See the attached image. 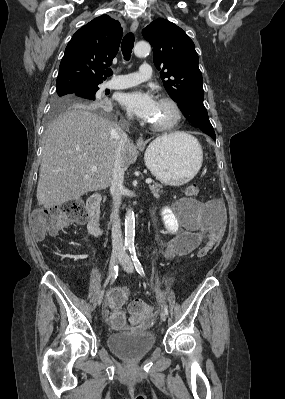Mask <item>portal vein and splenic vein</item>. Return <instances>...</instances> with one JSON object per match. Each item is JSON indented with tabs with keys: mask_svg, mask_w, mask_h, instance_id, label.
Listing matches in <instances>:
<instances>
[{
	"mask_svg": "<svg viewBox=\"0 0 285 399\" xmlns=\"http://www.w3.org/2000/svg\"><path fill=\"white\" fill-rule=\"evenodd\" d=\"M89 167H90L91 171H96L97 170V167L95 165H90ZM146 183L147 184H151L152 180L150 178H148V179H146Z\"/></svg>",
	"mask_w": 285,
	"mask_h": 399,
	"instance_id": "1",
	"label": "portal vein and splenic vein"
}]
</instances>
